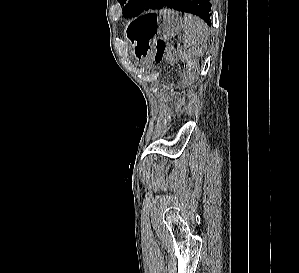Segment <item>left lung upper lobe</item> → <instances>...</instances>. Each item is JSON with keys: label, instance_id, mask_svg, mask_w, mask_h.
Wrapping results in <instances>:
<instances>
[{"label": "left lung upper lobe", "instance_id": "1", "mask_svg": "<svg viewBox=\"0 0 299 273\" xmlns=\"http://www.w3.org/2000/svg\"><path fill=\"white\" fill-rule=\"evenodd\" d=\"M123 8L124 17H135L144 11L145 5L148 0H118Z\"/></svg>", "mask_w": 299, "mask_h": 273}]
</instances>
